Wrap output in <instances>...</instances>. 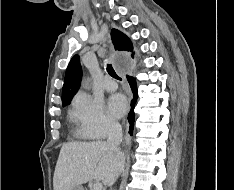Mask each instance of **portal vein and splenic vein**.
<instances>
[{
	"instance_id": "portal-vein-and-splenic-vein-1",
	"label": "portal vein and splenic vein",
	"mask_w": 234,
	"mask_h": 190,
	"mask_svg": "<svg viewBox=\"0 0 234 190\" xmlns=\"http://www.w3.org/2000/svg\"><path fill=\"white\" fill-rule=\"evenodd\" d=\"M102 183L100 182H95L93 185V190H102Z\"/></svg>"
}]
</instances>
